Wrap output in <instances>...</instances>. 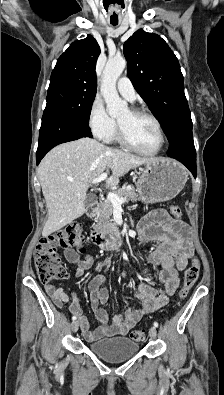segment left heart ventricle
<instances>
[{"mask_svg": "<svg viewBox=\"0 0 224 395\" xmlns=\"http://www.w3.org/2000/svg\"><path fill=\"white\" fill-rule=\"evenodd\" d=\"M117 121L138 148L145 151H154L158 147L159 133L154 122L148 117L135 115L128 109L117 118Z\"/></svg>", "mask_w": 224, "mask_h": 395, "instance_id": "left-heart-ventricle-1", "label": "left heart ventricle"}]
</instances>
